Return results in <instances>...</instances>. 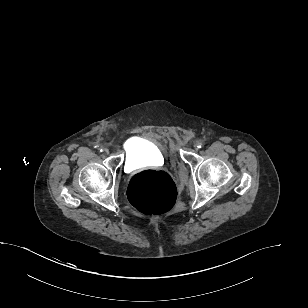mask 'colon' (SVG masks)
Masks as SVG:
<instances>
[{
  "mask_svg": "<svg viewBox=\"0 0 308 308\" xmlns=\"http://www.w3.org/2000/svg\"><path fill=\"white\" fill-rule=\"evenodd\" d=\"M128 198L132 206L144 214H162L175 202V184L165 172L144 171L132 177Z\"/></svg>",
  "mask_w": 308,
  "mask_h": 308,
  "instance_id": "colon-1",
  "label": "colon"
}]
</instances>
